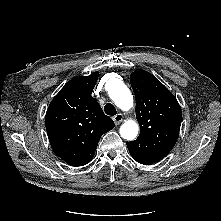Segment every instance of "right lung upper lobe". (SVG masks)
<instances>
[{
  "label": "right lung upper lobe",
  "instance_id": "right-lung-upper-lobe-1",
  "mask_svg": "<svg viewBox=\"0 0 221 221\" xmlns=\"http://www.w3.org/2000/svg\"><path fill=\"white\" fill-rule=\"evenodd\" d=\"M98 72L69 81L51 101L45 117L50 145L71 166L92 160L101 136L114 127L91 96Z\"/></svg>",
  "mask_w": 221,
  "mask_h": 221
}]
</instances>
